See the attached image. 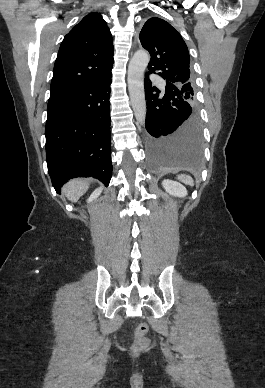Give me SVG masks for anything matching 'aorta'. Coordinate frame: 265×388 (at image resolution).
I'll return each mask as SVG.
<instances>
[{
    "label": "aorta",
    "instance_id": "762f6f07",
    "mask_svg": "<svg viewBox=\"0 0 265 388\" xmlns=\"http://www.w3.org/2000/svg\"><path fill=\"white\" fill-rule=\"evenodd\" d=\"M146 51L139 50L128 66V89L132 108L137 121L144 125L146 120V100L144 92V72L149 63Z\"/></svg>",
    "mask_w": 265,
    "mask_h": 388
}]
</instances>
